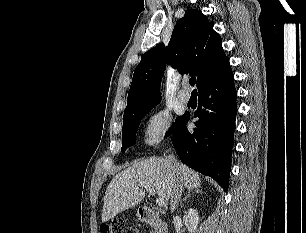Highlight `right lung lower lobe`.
Returning <instances> with one entry per match:
<instances>
[{
  "mask_svg": "<svg viewBox=\"0 0 306 233\" xmlns=\"http://www.w3.org/2000/svg\"><path fill=\"white\" fill-rule=\"evenodd\" d=\"M196 128L185 127L190 114L185 113L172 135L180 160L196 171L215 179L227 190L231 151L237 113L236 89L231 68L207 82L199 90Z\"/></svg>",
  "mask_w": 306,
  "mask_h": 233,
  "instance_id": "obj_1",
  "label": "right lung lower lobe"
}]
</instances>
